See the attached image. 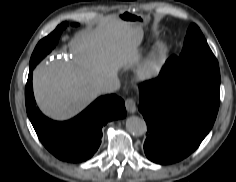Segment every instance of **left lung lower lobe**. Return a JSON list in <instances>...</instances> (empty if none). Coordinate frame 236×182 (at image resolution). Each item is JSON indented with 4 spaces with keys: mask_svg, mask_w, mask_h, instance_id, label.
Listing matches in <instances>:
<instances>
[{
    "mask_svg": "<svg viewBox=\"0 0 236 182\" xmlns=\"http://www.w3.org/2000/svg\"><path fill=\"white\" fill-rule=\"evenodd\" d=\"M220 103V84L161 73L140 86L139 111L147 123L144 152L158 164L190 155L211 130Z\"/></svg>",
    "mask_w": 236,
    "mask_h": 182,
    "instance_id": "obj_1",
    "label": "left lung lower lobe"
}]
</instances>
